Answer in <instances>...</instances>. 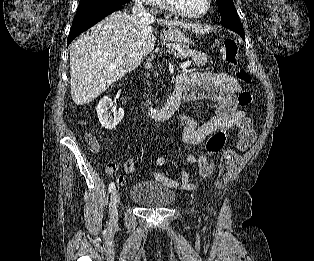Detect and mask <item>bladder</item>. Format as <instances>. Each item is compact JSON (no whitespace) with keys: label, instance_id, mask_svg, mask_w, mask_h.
Wrapping results in <instances>:
<instances>
[{"label":"bladder","instance_id":"bladder-1","mask_svg":"<svg viewBox=\"0 0 314 261\" xmlns=\"http://www.w3.org/2000/svg\"><path fill=\"white\" fill-rule=\"evenodd\" d=\"M130 199L144 208L161 209L171 206L175 201L172 189L156 181L135 184L130 191Z\"/></svg>","mask_w":314,"mask_h":261}]
</instances>
